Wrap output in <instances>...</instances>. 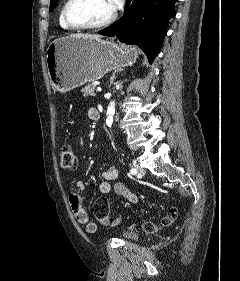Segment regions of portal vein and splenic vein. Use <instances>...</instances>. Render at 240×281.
<instances>
[{
	"instance_id": "18ae733b",
	"label": "portal vein and splenic vein",
	"mask_w": 240,
	"mask_h": 281,
	"mask_svg": "<svg viewBox=\"0 0 240 281\" xmlns=\"http://www.w3.org/2000/svg\"><path fill=\"white\" fill-rule=\"evenodd\" d=\"M101 90H102V89H101L100 87H97V91H98V92H101Z\"/></svg>"
}]
</instances>
